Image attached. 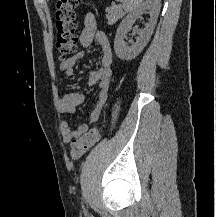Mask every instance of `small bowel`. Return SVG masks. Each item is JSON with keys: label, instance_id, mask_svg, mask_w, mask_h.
<instances>
[{"label": "small bowel", "instance_id": "small-bowel-1", "mask_svg": "<svg viewBox=\"0 0 216 217\" xmlns=\"http://www.w3.org/2000/svg\"><path fill=\"white\" fill-rule=\"evenodd\" d=\"M80 44L89 47L97 41L102 48V56L99 67L88 77L90 86L98 85V95L95 107L91 111L88 121L76 128H72L66 120L60 123V133L62 141L70 143L82 136L90 125L96 123L107 101L112 83V63L113 55L109 41L105 34L98 29L97 20L93 13H87L83 20V29L79 36ZM84 57V52L80 51L73 55L69 60L61 61L59 68L66 77L72 78L75 74V66ZM85 101V94L82 92H72L65 94L58 102V109L62 115L74 114L77 107Z\"/></svg>", "mask_w": 216, "mask_h": 217}]
</instances>
